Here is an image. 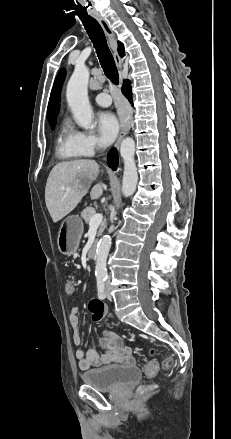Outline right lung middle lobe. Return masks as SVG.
I'll use <instances>...</instances> for the list:
<instances>
[{
	"instance_id": "obj_1",
	"label": "right lung middle lobe",
	"mask_w": 231,
	"mask_h": 439,
	"mask_svg": "<svg viewBox=\"0 0 231 439\" xmlns=\"http://www.w3.org/2000/svg\"><path fill=\"white\" fill-rule=\"evenodd\" d=\"M52 129H54L55 128V126H53V127H51Z\"/></svg>"
}]
</instances>
